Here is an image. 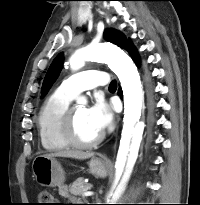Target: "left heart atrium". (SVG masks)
I'll list each match as a JSON object with an SVG mask.
<instances>
[{"label":"left heart atrium","mask_w":200,"mask_h":205,"mask_svg":"<svg viewBox=\"0 0 200 205\" xmlns=\"http://www.w3.org/2000/svg\"><path fill=\"white\" fill-rule=\"evenodd\" d=\"M88 110L92 122L100 132L105 131L111 126L113 112L103 99L98 98Z\"/></svg>","instance_id":"1"}]
</instances>
